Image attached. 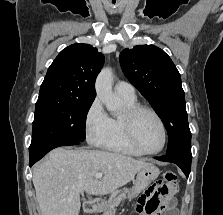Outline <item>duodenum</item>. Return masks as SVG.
Listing matches in <instances>:
<instances>
[{
	"instance_id": "1",
	"label": "duodenum",
	"mask_w": 223,
	"mask_h": 215,
	"mask_svg": "<svg viewBox=\"0 0 223 215\" xmlns=\"http://www.w3.org/2000/svg\"><path fill=\"white\" fill-rule=\"evenodd\" d=\"M102 208V201L98 199H89L84 205L86 215H98Z\"/></svg>"
}]
</instances>
